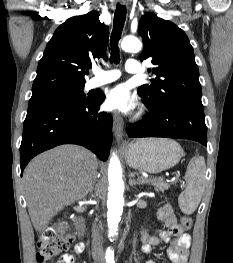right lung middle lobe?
Masks as SVG:
<instances>
[{
  "label": "right lung middle lobe",
  "mask_w": 233,
  "mask_h": 263,
  "mask_svg": "<svg viewBox=\"0 0 233 263\" xmlns=\"http://www.w3.org/2000/svg\"><path fill=\"white\" fill-rule=\"evenodd\" d=\"M83 88L84 85L72 89H66V90L32 96L29 101L28 109L37 106L53 104V103L69 104V103L88 101L90 97H85Z\"/></svg>",
  "instance_id": "obj_1"
}]
</instances>
